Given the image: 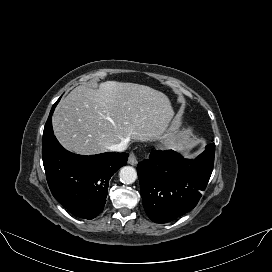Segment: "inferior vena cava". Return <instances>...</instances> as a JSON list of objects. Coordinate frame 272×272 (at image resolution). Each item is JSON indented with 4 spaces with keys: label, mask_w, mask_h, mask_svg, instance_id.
Here are the masks:
<instances>
[{
    "label": "inferior vena cava",
    "mask_w": 272,
    "mask_h": 272,
    "mask_svg": "<svg viewBox=\"0 0 272 272\" xmlns=\"http://www.w3.org/2000/svg\"><path fill=\"white\" fill-rule=\"evenodd\" d=\"M126 148H127L126 141H123V142H120L118 144H114V145H111L108 147V149L110 151H114V152H123L124 150H126Z\"/></svg>",
    "instance_id": "inferior-vena-cava-1"
}]
</instances>
